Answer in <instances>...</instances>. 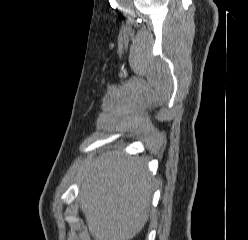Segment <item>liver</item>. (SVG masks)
<instances>
[{"instance_id": "1", "label": "liver", "mask_w": 248, "mask_h": 240, "mask_svg": "<svg viewBox=\"0 0 248 240\" xmlns=\"http://www.w3.org/2000/svg\"><path fill=\"white\" fill-rule=\"evenodd\" d=\"M153 184L139 157L107 152L85 170L80 208L95 240H130L148 220Z\"/></svg>"}]
</instances>
